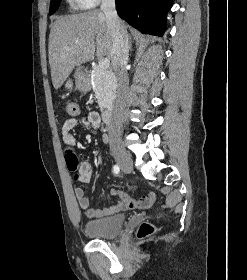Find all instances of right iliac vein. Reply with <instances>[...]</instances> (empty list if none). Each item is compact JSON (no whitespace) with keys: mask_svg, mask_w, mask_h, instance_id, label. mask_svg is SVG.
<instances>
[{"mask_svg":"<svg viewBox=\"0 0 247 280\" xmlns=\"http://www.w3.org/2000/svg\"><path fill=\"white\" fill-rule=\"evenodd\" d=\"M113 157L121 170L125 173H130L133 170V162L127 152L120 146H112Z\"/></svg>","mask_w":247,"mask_h":280,"instance_id":"obj_1","label":"right iliac vein"}]
</instances>
